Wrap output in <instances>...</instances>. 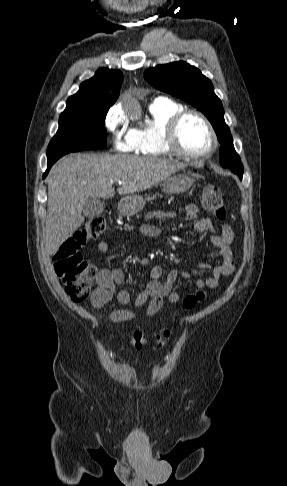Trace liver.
<instances>
[{"mask_svg":"<svg viewBox=\"0 0 287 486\" xmlns=\"http://www.w3.org/2000/svg\"><path fill=\"white\" fill-rule=\"evenodd\" d=\"M187 164L175 160L130 155L76 153L59 160L48 175L45 251L54 255L83 224L89 197H114L113 182L122 181L120 195L155 186Z\"/></svg>","mask_w":287,"mask_h":486,"instance_id":"obj_1","label":"liver"}]
</instances>
